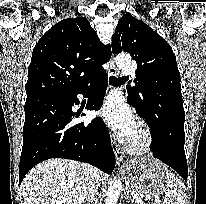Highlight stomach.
<instances>
[{"mask_svg": "<svg viewBox=\"0 0 206 204\" xmlns=\"http://www.w3.org/2000/svg\"><path fill=\"white\" fill-rule=\"evenodd\" d=\"M126 173L129 188L140 196L159 195L167 189L170 170L154 159H132L128 162Z\"/></svg>", "mask_w": 206, "mask_h": 204, "instance_id": "obj_1", "label": "stomach"}]
</instances>
